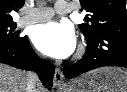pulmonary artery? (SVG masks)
I'll list each match as a JSON object with an SVG mask.
<instances>
[{
	"instance_id": "pulmonary-artery-1",
	"label": "pulmonary artery",
	"mask_w": 127,
	"mask_h": 92,
	"mask_svg": "<svg viewBox=\"0 0 127 92\" xmlns=\"http://www.w3.org/2000/svg\"><path fill=\"white\" fill-rule=\"evenodd\" d=\"M54 11L58 14H66L71 11V7L64 1H57L54 9L48 7H39L30 10H26V15L18 19L19 26H27L38 22L49 20Z\"/></svg>"
}]
</instances>
